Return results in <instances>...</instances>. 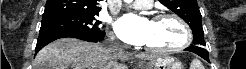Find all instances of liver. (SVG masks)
<instances>
[{
  "label": "liver",
  "mask_w": 246,
  "mask_h": 69,
  "mask_svg": "<svg viewBox=\"0 0 246 69\" xmlns=\"http://www.w3.org/2000/svg\"><path fill=\"white\" fill-rule=\"evenodd\" d=\"M136 58L151 60L147 54ZM128 60L123 50H114L97 43H86L73 38L56 40L45 46L37 54L34 69H126L117 60Z\"/></svg>",
  "instance_id": "1"
}]
</instances>
